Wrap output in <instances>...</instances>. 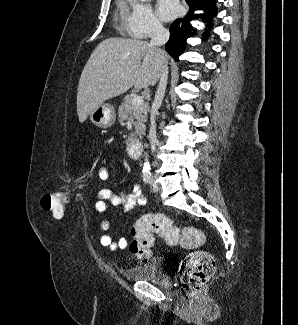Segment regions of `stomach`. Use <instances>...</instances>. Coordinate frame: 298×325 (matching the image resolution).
I'll use <instances>...</instances> for the list:
<instances>
[{
    "mask_svg": "<svg viewBox=\"0 0 298 325\" xmlns=\"http://www.w3.org/2000/svg\"><path fill=\"white\" fill-rule=\"evenodd\" d=\"M89 118L96 126H100V128H109V126H112L115 122V108L113 104L103 102V104L94 108L93 112L89 114Z\"/></svg>",
    "mask_w": 298,
    "mask_h": 325,
    "instance_id": "obj_1",
    "label": "stomach"
}]
</instances>
